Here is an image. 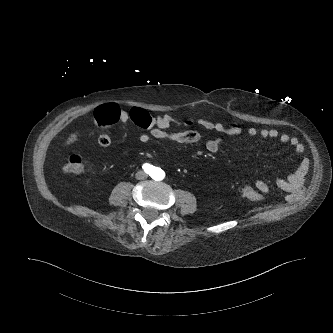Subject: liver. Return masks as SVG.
<instances>
[{
  "instance_id": "liver-1",
  "label": "liver",
  "mask_w": 333,
  "mask_h": 333,
  "mask_svg": "<svg viewBox=\"0 0 333 333\" xmlns=\"http://www.w3.org/2000/svg\"><path fill=\"white\" fill-rule=\"evenodd\" d=\"M77 134H78V132L73 133L68 137V139L66 141V146L71 145L78 140Z\"/></svg>"
}]
</instances>
